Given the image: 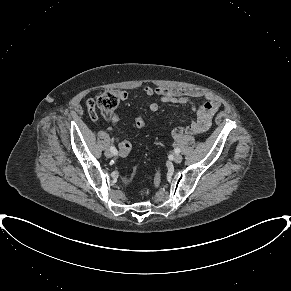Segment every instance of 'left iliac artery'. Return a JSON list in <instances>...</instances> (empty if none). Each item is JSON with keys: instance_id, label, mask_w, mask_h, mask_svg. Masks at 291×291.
Segmentation results:
<instances>
[{"instance_id": "44dca946", "label": "left iliac artery", "mask_w": 291, "mask_h": 291, "mask_svg": "<svg viewBox=\"0 0 291 291\" xmlns=\"http://www.w3.org/2000/svg\"><path fill=\"white\" fill-rule=\"evenodd\" d=\"M174 151H175L176 154L180 153V149L179 148H175Z\"/></svg>"}]
</instances>
